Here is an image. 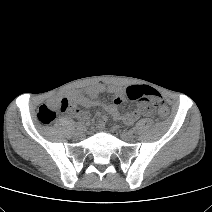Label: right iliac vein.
<instances>
[{
  "instance_id": "63e3f726",
  "label": "right iliac vein",
  "mask_w": 212,
  "mask_h": 212,
  "mask_svg": "<svg viewBox=\"0 0 212 212\" xmlns=\"http://www.w3.org/2000/svg\"><path fill=\"white\" fill-rule=\"evenodd\" d=\"M74 135H75L76 137H82V135H83V130H82V129H77V130L75 131Z\"/></svg>"
}]
</instances>
